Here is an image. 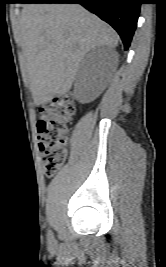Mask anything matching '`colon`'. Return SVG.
<instances>
[{"label": "colon", "instance_id": "1", "mask_svg": "<svg viewBox=\"0 0 166 267\" xmlns=\"http://www.w3.org/2000/svg\"><path fill=\"white\" fill-rule=\"evenodd\" d=\"M76 113V104L71 96L57 98L39 110V148L43 156L44 171L53 176L66 159L69 125Z\"/></svg>", "mask_w": 166, "mask_h": 267}]
</instances>
